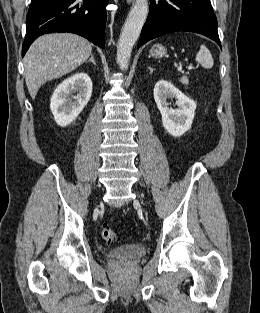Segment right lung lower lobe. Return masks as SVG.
<instances>
[{"label":"right lung lower lobe","mask_w":260,"mask_h":313,"mask_svg":"<svg viewBox=\"0 0 260 313\" xmlns=\"http://www.w3.org/2000/svg\"><path fill=\"white\" fill-rule=\"evenodd\" d=\"M108 0H32L26 18L22 56L39 36L50 32L81 35L104 48Z\"/></svg>","instance_id":"98d812e1"}]
</instances>
